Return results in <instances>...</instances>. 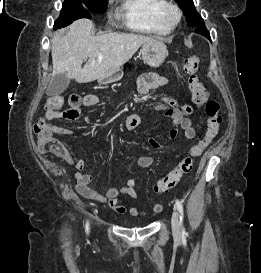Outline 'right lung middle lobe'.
<instances>
[{
  "mask_svg": "<svg viewBox=\"0 0 261 273\" xmlns=\"http://www.w3.org/2000/svg\"><path fill=\"white\" fill-rule=\"evenodd\" d=\"M108 0H65L59 18L55 21L54 28L65 27L79 18H91L83 9L86 6L92 12L105 11Z\"/></svg>",
  "mask_w": 261,
  "mask_h": 273,
  "instance_id": "right-lung-middle-lobe-1",
  "label": "right lung middle lobe"
}]
</instances>
